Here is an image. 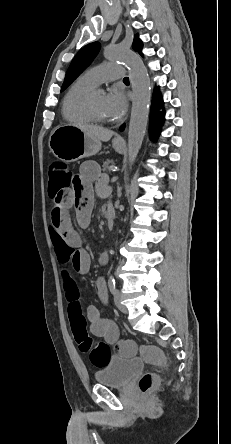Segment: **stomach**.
Wrapping results in <instances>:
<instances>
[{
	"label": "stomach",
	"instance_id": "obj_1",
	"mask_svg": "<svg viewBox=\"0 0 231 444\" xmlns=\"http://www.w3.org/2000/svg\"><path fill=\"white\" fill-rule=\"evenodd\" d=\"M49 147L58 159L72 162L97 154L101 149V142L76 126L61 125L52 131ZM113 148L122 153L125 148L124 142L114 140Z\"/></svg>",
	"mask_w": 231,
	"mask_h": 444
}]
</instances>
